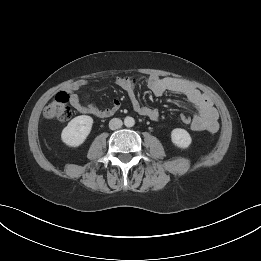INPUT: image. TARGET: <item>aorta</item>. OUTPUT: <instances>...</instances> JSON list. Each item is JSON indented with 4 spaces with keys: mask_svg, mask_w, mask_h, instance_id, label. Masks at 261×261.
<instances>
[{
    "mask_svg": "<svg viewBox=\"0 0 261 261\" xmlns=\"http://www.w3.org/2000/svg\"><path fill=\"white\" fill-rule=\"evenodd\" d=\"M134 124H135V120L133 117H130V116L125 117L124 125L126 127H132V126H134Z\"/></svg>",
    "mask_w": 261,
    "mask_h": 261,
    "instance_id": "aorta-1",
    "label": "aorta"
}]
</instances>
